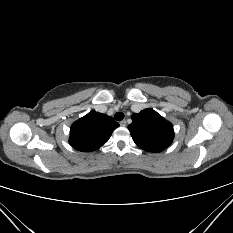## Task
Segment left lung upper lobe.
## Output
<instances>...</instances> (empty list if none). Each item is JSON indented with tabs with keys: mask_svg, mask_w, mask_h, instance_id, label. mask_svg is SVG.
Instances as JSON below:
<instances>
[{
	"mask_svg": "<svg viewBox=\"0 0 233 233\" xmlns=\"http://www.w3.org/2000/svg\"><path fill=\"white\" fill-rule=\"evenodd\" d=\"M128 126L132 139L141 149L148 152H161L173 141L174 130L170 122L153 109H144L131 116Z\"/></svg>",
	"mask_w": 233,
	"mask_h": 233,
	"instance_id": "obj_1",
	"label": "left lung upper lobe"
}]
</instances>
